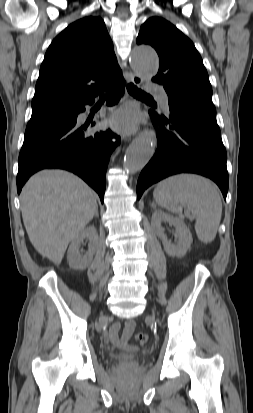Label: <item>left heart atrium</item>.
<instances>
[{"instance_id": "obj_1", "label": "left heart atrium", "mask_w": 253, "mask_h": 413, "mask_svg": "<svg viewBox=\"0 0 253 413\" xmlns=\"http://www.w3.org/2000/svg\"><path fill=\"white\" fill-rule=\"evenodd\" d=\"M111 123L125 133L131 132L137 125V116L132 109L125 108L112 116Z\"/></svg>"}]
</instances>
